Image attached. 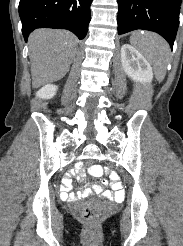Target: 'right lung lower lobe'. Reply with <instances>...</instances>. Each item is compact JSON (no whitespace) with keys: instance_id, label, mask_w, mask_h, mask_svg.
<instances>
[{"instance_id":"obj_1","label":"right lung lower lobe","mask_w":183,"mask_h":246,"mask_svg":"<svg viewBox=\"0 0 183 246\" xmlns=\"http://www.w3.org/2000/svg\"><path fill=\"white\" fill-rule=\"evenodd\" d=\"M93 0H20L19 16L25 41L37 28L67 29L82 40L91 20Z\"/></svg>"}]
</instances>
